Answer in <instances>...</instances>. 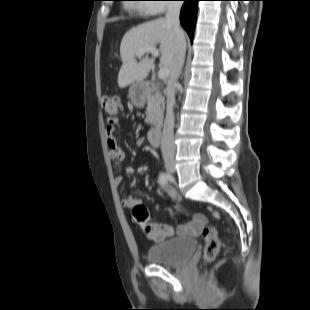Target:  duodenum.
<instances>
[{
	"instance_id": "410a0bca",
	"label": "duodenum",
	"mask_w": 310,
	"mask_h": 310,
	"mask_svg": "<svg viewBox=\"0 0 310 310\" xmlns=\"http://www.w3.org/2000/svg\"><path fill=\"white\" fill-rule=\"evenodd\" d=\"M145 86L148 90H152L154 88V84L151 82L146 83ZM148 138H149V142L152 146H157L159 144L160 138H161V127L158 126V127L151 129L149 131Z\"/></svg>"
}]
</instances>
